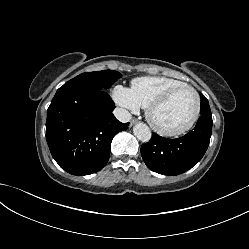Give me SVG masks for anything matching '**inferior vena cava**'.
<instances>
[{"mask_svg": "<svg viewBox=\"0 0 249 249\" xmlns=\"http://www.w3.org/2000/svg\"><path fill=\"white\" fill-rule=\"evenodd\" d=\"M113 114L120 122H128L131 119V114L123 108H115Z\"/></svg>", "mask_w": 249, "mask_h": 249, "instance_id": "obj_1", "label": "inferior vena cava"}]
</instances>
